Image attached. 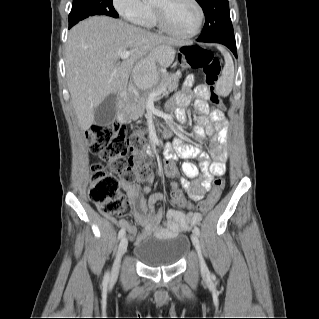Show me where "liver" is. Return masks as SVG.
I'll return each mask as SVG.
<instances>
[{
  "label": "liver",
  "instance_id": "1",
  "mask_svg": "<svg viewBox=\"0 0 319 319\" xmlns=\"http://www.w3.org/2000/svg\"><path fill=\"white\" fill-rule=\"evenodd\" d=\"M161 44L178 43L106 16L90 17L69 31L66 77L82 130L94 123L95 108L110 94L124 91L135 66L148 60L154 48ZM128 49L129 58L118 62L119 53Z\"/></svg>",
  "mask_w": 319,
  "mask_h": 319
}]
</instances>
